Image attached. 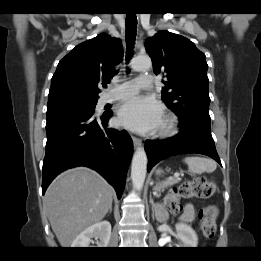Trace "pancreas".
I'll use <instances>...</instances> for the list:
<instances>
[{
  "label": "pancreas",
  "instance_id": "pancreas-1",
  "mask_svg": "<svg viewBox=\"0 0 261 261\" xmlns=\"http://www.w3.org/2000/svg\"><path fill=\"white\" fill-rule=\"evenodd\" d=\"M177 181H173V180H167L165 182L162 183H158L155 187L154 190L155 192H157L156 196H160V193L164 191L165 187H167L170 184H174Z\"/></svg>",
  "mask_w": 261,
  "mask_h": 261
}]
</instances>
